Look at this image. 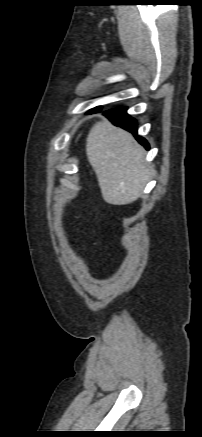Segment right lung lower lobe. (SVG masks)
<instances>
[{
  "mask_svg": "<svg viewBox=\"0 0 202 437\" xmlns=\"http://www.w3.org/2000/svg\"><path fill=\"white\" fill-rule=\"evenodd\" d=\"M97 109L96 111H99ZM126 107H117L115 109L108 110L104 112V114L109 118V120L116 126L122 127L123 129L133 133L136 136V139L142 144L146 149H149V144L147 141L137 136V123L136 120L133 119L130 115L126 113Z\"/></svg>",
  "mask_w": 202,
  "mask_h": 437,
  "instance_id": "1",
  "label": "right lung lower lobe"
}]
</instances>
